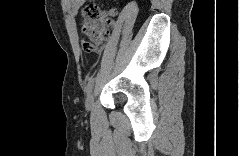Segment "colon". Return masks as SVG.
I'll use <instances>...</instances> for the list:
<instances>
[{
  "label": "colon",
  "mask_w": 239,
  "mask_h": 156,
  "mask_svg": "<svg viewBox=\"0 0 239 156\" xmlns=\"http://www.w3.org/2000/svg\"><path fill=\"white\" fill-rule=\"evenodd\" d=\"M113 14V10H102L96 4H88L83 8L81 31L89 38V42L84 43L87 51H94L108 38V28L112 23L110 16Z\"/></svg>",
  "instance_id": "5ec220e1"
}]
</instances>
